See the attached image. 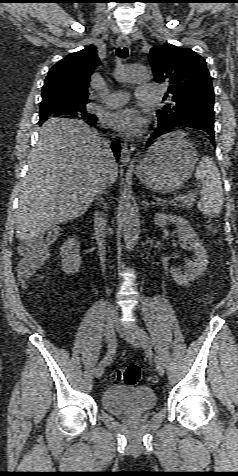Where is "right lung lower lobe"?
Returning a JSON list of instances; mask_svg holds the SVG:
<instances>
[{
	"label": "right lung lower lobe",
	"mask_w": 238,
	"mask_h": 476,
	"mask_svg": "<svg viewBox=\"0 0 238 476\" xmlns=\"http://www.w3.org/2000/svg\"><path fill=\"white\" fill-rule=\"evenodd\" d=\"M95 122H96V121H95ZM95 122H89V124L94 125ZM40 124H41V123H40ZM111 147H112V150H113V152H114V155H115L116 159H118L119 156H120V144H119V142H118V141H114V142L112 143V146H111Z\"/></svg>",
	"instance_id": "right-lung-lower-lobe-1"
}]
</instances>
